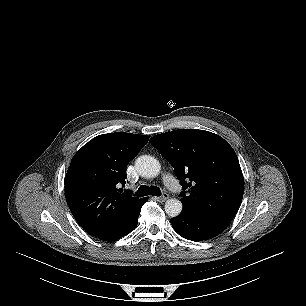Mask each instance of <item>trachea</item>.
I'll return each instance as SVG.
<instances>
[{
	"instance_id": "3493384b",
	"label": "trachea",
	"mask_w": 306,
	"mask_h": 306,
	"mask_svg": "<svg viewBox=\"0 0 306 306\" xmlns=\"http://www.w3.org/2000/svg\"><path fill=\"white\" fill-rule=\"evenodd\" d=\"M147 195H153V196H161V191L157 186H146L142 185L138 188V190L135 193V196L143 197Z\"/></svg>"
}]
</instances>
